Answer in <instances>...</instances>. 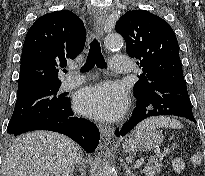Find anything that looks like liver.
Segmentation results:
<instances>
[{
    "instance_id": "6515ba94",
    "label": "liver",
    "mask_w": 205,
    "mask_h": 176,
    "mask_svg": "<svg viewBox=\"0 0 205 176\" xmlns=\"http://www.w3.org/2000/svg\"><path fill=\"white\" fill-rule=\"evenodd\" d=\"M82 150L70 138L33 131L14 138L5 152L3 176H72Z\"/></svg>"
}]
</instances>
